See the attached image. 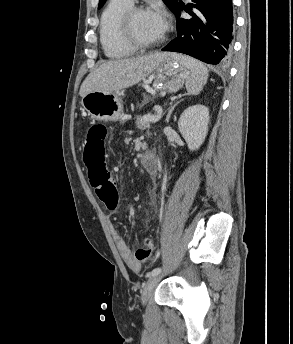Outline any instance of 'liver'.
<instances>
[{"label":"liver","instance_id":"obj_1","mask_svg":"<svg viewBox=\"0 0 293 344\" xmlns=\"http://www.w3.org/2000/svg\"><path fill=\"white\" fill-rule=\"evenodd\" d=\"M169 53H152L145 56L107 61L91 72L80 88V96L95 91H120L145 79Z\"/></svg>","mask_w":293,"mask_h":344}]
</instances>
